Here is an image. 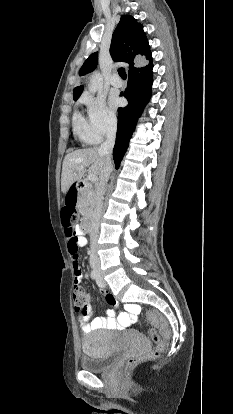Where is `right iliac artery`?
<instances>
[{
    "label": "right iliac artery",
    "mask_w": 233,
    "mask_h": 414,
    "mask_svg": "<svg viewBox=\"0 0 233 414\" xmlns=\"http://www.w3.org/2000/svg\"><path fill=\"white\" fill-rule=\"evenodd\" d=\"M90 275H91V278H92L93 280H96V279H97V277H98V275H97V273H96V271H95V270H92Z\"/></svg>",
    "instance_id": "1"
}]
</instances>
